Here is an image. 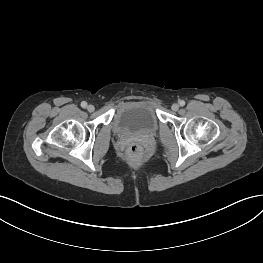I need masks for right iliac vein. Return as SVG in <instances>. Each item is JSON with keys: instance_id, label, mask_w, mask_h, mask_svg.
Here are the masks:
<instances>
[{"instance_id": "right-iliac-vein-1", "label": "right iliac vein", "mask_w": 263, "mask_h": 263, "mask_svg": "<svg viewBox=\"0 0 263 263\" xmlns=\"http://www.w3.org/2000/svg\"><path fill=\"white\" fill-rule=\"evenodd\" d=\"M87 110H88L89 112H93V111L95 110V107H94L93 105H88V106H87Z\"/></svg>"}]
</instances>
